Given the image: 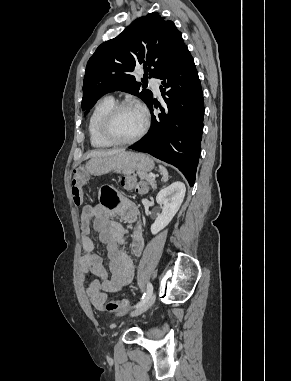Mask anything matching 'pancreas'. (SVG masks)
Returning a JSON list of instances; mask_svg holds the SVG:
<instances>
[{
	"label": "pancreas",
	"mask_w": 291,
	"mask_h": 381,
	"mask_svg": "<svg viewBox=\"0 0 291 381\" xmlns=\"http://www.w3.org/2000/svg\"><path fill=\"white\" fill-rule=\"evenodd\" d=\"M119 172H121V171H119ZM122 173H123V174H126V175L131 174V173L134 174V172H133V171H130V170H123ZM134 175H135V174H134ZM137 175L139 176V178H140L141 180H144V179H145V180L147 181V183L150 184L152 187H153V186L155 185V183H156L155 179L149 177L147 173H144V172H141V171H137Z\"/></svg>",
	"instance_id": "obj_1"
}]
</instances>
